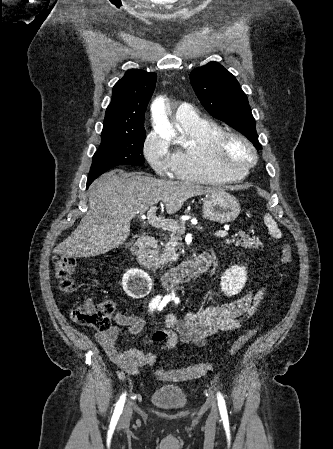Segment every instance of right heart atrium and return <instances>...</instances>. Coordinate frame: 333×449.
<instances>
[{
	"label": "right heart atrium",
	"mask_w": 333,
	"mask_h": 449,
	"mask_svg": "<svg viewBox=\"0 0 333 449\" xmlns=\"http://www.w3.org/2000/svg\"><path fill=\"white\" fill-rule=\"evenodd\" d=\"M142 151L156 174L160 176L173 174L175 158L167 140L156 132H150L143 142Z\"/></svg>",
	"instance_id": "right-heart-atrium-1"
}]
</instances>
